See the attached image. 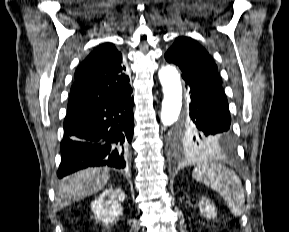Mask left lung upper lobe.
I'll return each mask as SVG.
<instances>
[{
    "label": "left lung upper lobe",
    "instance_id": "obj_1",
    "mask_svg": "<svg viewBox=\"0 0 289 232\" xmlns=\"http://www.w3.org/2000/svg\"><path fill=\"white\" fill-rule=\"evenodd\" d=\"M165 59L179 66L183 73L205 77L222 85L217 66L208 52L196 41L188 37H177L165 53ZM174 144L190 151H207L213 144L203 140L188 126H179L174 135Z\"/></svg>",
    "mask_w": 289,
    "mask_h": 232
}]
</instances>
